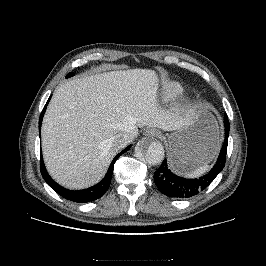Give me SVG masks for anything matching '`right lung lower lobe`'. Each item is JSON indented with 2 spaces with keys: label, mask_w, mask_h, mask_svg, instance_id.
<instances>
[{
  "label": "right lung lower lobe",
  "mask_w": 266,
  "mask_h": 266,
  "mask_svg": "<svg viewBox=\"0 0 266 266\" xmlns=\"http://www.w3.org/2000/svg\"><path fill=\"white\" fill-rule=\"evenodd\" d=\"M50 98L48 99L41 115H40V119H39V131L41 129V123H42V119H43V115L45 113L46 110V106L49 102ZM131 147V145H129L128 147H126L122 152H120L112 161L107 174L105 175V177L103 178V180H101L98 184L85 189V190H80V191H70L67 190L65 188H63L62 186L58 185L48 174L45 165L43 163V159L41 156V166H40V170H41V174L44 178V180L47 182V184L54 190L56 191L59 195H61L62 197L71 200L73 202H90V201H94L98 198H100L105 192L106 190L109 188L110 186V182H111V178H112V173H113V168H114V163L116 162V160L118 159L119 156H121L123 153H125L129 148Z\"/></svg>",
  "instance_id": "1"
}]
</instances>
